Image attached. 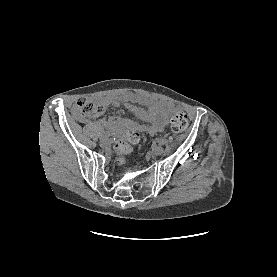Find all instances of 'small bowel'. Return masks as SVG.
<instances>
[{
	"instance_id": "small-bowel-1",
	"label": "small bowel",
	"mask_w": 277,
	"mask_h": 277,
	"mask_svg": "<svg viewBox=\"0 0 277 277\" xmlns=\"http://www.w3.org/2000/svg\"><path fill=\"white\" fill-rule=\"evenodd\" d=\"M96 102L103 107L125 104L131 113L148 122L147 130L150 134H155L165 129L168 122V115L172 111V106L167 102L131 92L119 93L110 97H102L97 99ZM133 103L145 104L147 105V109ZM99 124L107 130L115 132L124 127L127 124V120L112 116L107 120H99Z\"/></svg>"
}]
</instances>
